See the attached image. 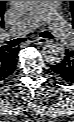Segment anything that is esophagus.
<instances>
[{
	"label": "esophagus",
	"mask_w": 74,
	"mask_h": 122,
	"mask_svg": "<svg viewBox=\"0 0 74 122\" xmlns=\"http://www.w3.org/2000/svg\"><path fill=\"white\" fill-rule=\"evenodd\" d=\"M48 43V40L46 38L38 37L34 40V44L36 45H43Z\"/></svg>",
	"instance_id": "esophagus-1"
}]
</instances>
